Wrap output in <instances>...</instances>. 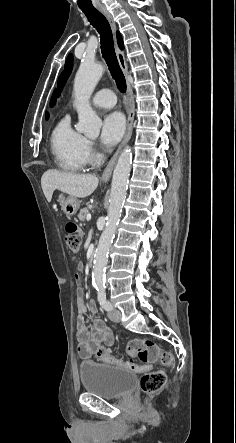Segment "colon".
Returning <instances> with one entry per match:
<instances>
[{
  "instance_id": "colon-1",
  "label": "colon",
  "mask_w": 236,
  "mask_h": 443,
  "mask_svg": "<svg viewBox=\"0 0 236 443\" xmlns=\"http://www.w3.org/2000/svg\"><path fill=\"white\" fill-rule=\"evenodd\" d=\"M65 242L72 254L79 251L81 238L76 223L68 221L64 226ZM78 273L75 274V277ZM94 353L98 360L131 370H147L154 362L160 361L164 366L173 365V356L170 352L162 350L155 342L148 339H132L125 345L126 353L132 358L124 360L112 356L104 346L94 347ZM133 359H137L140 364ZM167 375L164 370L159 369L143 375L140 387L145 393H155L166 383Z\"/></svg>"
}]
</instances>
